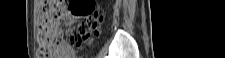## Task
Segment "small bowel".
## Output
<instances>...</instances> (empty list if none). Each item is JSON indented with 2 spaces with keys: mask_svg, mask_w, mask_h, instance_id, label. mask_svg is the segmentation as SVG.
Segmentation results:
<instances>
[{
  "mask_svg": "<svg viewBox=\"0 0 225 58\" xmlns=\"http://www.w3.org/2000/svg\"><path fill=\"white\" fill-rule=\"evenodd\" d=\"M75 19L76 18H68L67 23L69 25H73L75 23ZM64 46H65V54H66L65 58H73V55H74L73 49L66 43L64 44Z\"/></svg>",
  "mask_w": 225,
  "mask_h": 58,
  "instance_id": "obj_1",
  "label": "small bowel"
}]
</instances>
